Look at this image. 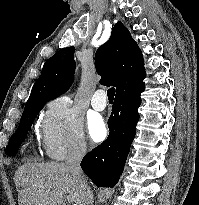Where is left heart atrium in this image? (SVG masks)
<instances>
[{"label": "left heart atrium", "instance_id": "left-heart-atrium-1", "mask_svg": "<svg viewBox=\"0 0 199 205\" xmlns=\"http://www.w3.org/2000/svg\"><path fill=\"white\" fill-rule=\"evenodd\" d=\"M106 133V127L100 118H94L89 122V134L94 141H101Z\"/></svg>", "mask_w": 199, "mask_h": 205}]
</instances>
